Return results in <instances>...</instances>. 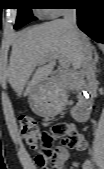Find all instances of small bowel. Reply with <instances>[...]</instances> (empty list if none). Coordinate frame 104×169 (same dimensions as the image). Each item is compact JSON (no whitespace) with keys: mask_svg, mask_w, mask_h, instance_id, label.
Returning a JSON list of instances; mask_svg holds the SVG:
<instances>
[{"mask_svg":"<svg viewBox=\"0 0 104 169\" xmlns=\"http://www.w3.org/2000/svg\"><path fill=\"white\" fill-rule=\"evenodd\" d=\"M68 124L70 125V127L75 129L73 124L70 123ZM77 134H78V141L74 145V148H76L77 150H85L87 147V141L82 133L77 132ZM56 156H57V160H56L55 169H62L66 160L68 159L69 151L66 147L59 146L56 148ZM80 169H93L92 161L89 159L85 160L81 165Z\"/></svg>","mask_w":104,"mask_h":169,"instance_id":"obj_1","label":"small bowel"}]
</instances>
